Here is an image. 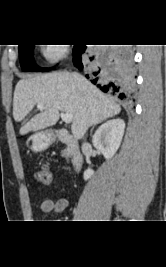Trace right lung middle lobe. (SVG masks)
Returning <instances> with one entry per match:
<instances>
[{
	"instance_id": "obj_1",
	"label": "right lung middle lobe",
	"mask_w": 166,
	"mask_h": 267,
	"mask_svg": "<svg viewBox=\"0 0 166 267\" xmlns=\"http://www.w3.org/2000/svg\"><path fill=\"white\" fill-rule=\"evenodd\" d=\"M19 58L23 71H48L35 65L33 61V45H19Z\"/></svg>"
}]
</instances>
